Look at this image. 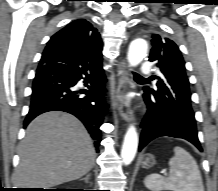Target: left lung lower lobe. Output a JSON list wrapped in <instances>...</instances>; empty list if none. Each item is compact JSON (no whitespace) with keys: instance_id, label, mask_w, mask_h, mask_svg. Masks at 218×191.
<instances>
[{"instance_id":"0a47b994","label":"left lung lower lobe","mask_w":218,"mask_h":191,"mask_svg":"<svg viewBox=\"0 0 218 191\" xmlns=\"http://www.w3.org/2000/svg\"><path fill=\"white\" fill-rule=\"evenodd\" d=\"M143 97L148 110L141 125L139 150L154 138L170 136L186 139L202 151L190 104L177 99L169 102L165 95L148 87L144 88Z\"/></svg>"}]
</instances>
